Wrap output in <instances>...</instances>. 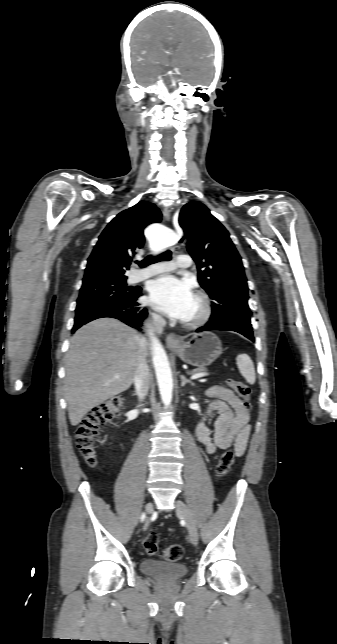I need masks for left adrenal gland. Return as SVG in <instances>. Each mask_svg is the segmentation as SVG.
Segmentation results:
<instances>
[{"label":"left adrenal gland","mask_w":337,"mask_h":644,"mask_svg":"<svg viewBox=\"0 0 337 644\" xmlns=\"http://www.w3.org/2000/svg\"><path fill=\"white\" fill-rule=\"evenodd\" d=\"M180 378H181L182 387L185 386L186 384H191L192 386L194 385V383L191 380L187 379L184 375H181Z\"/></svg>","instance_id":"a2214340"}]
</instances>
